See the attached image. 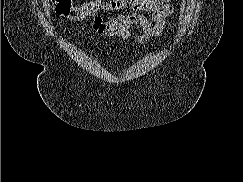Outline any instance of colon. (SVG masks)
<instances>
[{
	"mask_svg": "<svg viewBox=\"0 0 243 182\" xmlns=\"http://www.w3.org/2000/svg\"><path fill=\"white\" fill-rule=\"evenodd\" d=\"M55 12L70 20H83L101 11H119L132 3V0H91L76 4L73 0H53Z\"/></svg>",
	"mask_w": 243,
	"mask_h": 182,
	"instance_id": "1",
	"label": "colon"
}]
</instances>
